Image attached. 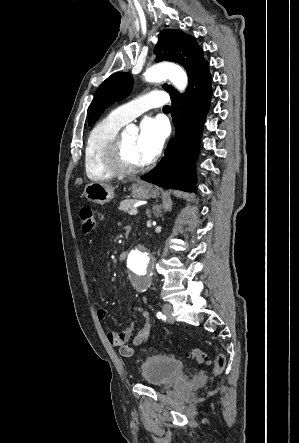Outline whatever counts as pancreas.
I'll return each mask as SVG.
<instances>
[{"label": "pancreas", "instance_id": "1", "mask_svg": "<svg viewBox=\"0 0 299 443\" xmlns=\"http://www.w3.org/2000/svg\"><path fill=\"white\" fill-rule=\"evenodd\" d=\"M137 203V200L135 199H126L121 201L119 210L124 212H129L130 209L133 208V206Z\"/></svg>", "mask_w": 299, "mask_h": 443}]
</instances>
